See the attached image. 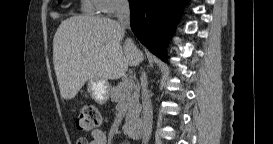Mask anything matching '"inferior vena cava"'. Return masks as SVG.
<instances>
[{"label":"inferior vena cava","instance_id":"602c4592","mask_svg":"<svg viewBox=\"0 0 273 144\" xmlns=\"http://www.w3.org/2000/svg\"><path fill=\"white\" fill-rule=\"evenodd\" d=\"M115 11L118 19V23L122 28L130 27V9L128 0H115ZM141 87H142V107H143V119L141 124L142 132V144H147L151 132H152V122H153V112L150 94L147 86V75L142 72L141 77Z\"/></svg>","mask_w":273,"mask_h":144}]
</instances>
